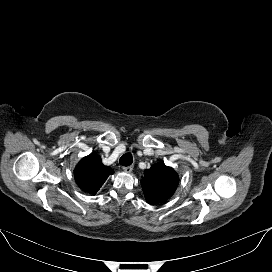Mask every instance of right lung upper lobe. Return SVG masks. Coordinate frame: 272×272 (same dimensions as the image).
Listing matches in <instances>:
<instances>
[{
    "label": "right lung upper lobe",
    "mask_w": 272,
    "mask_h": 272,
    "mask_svg": "<svg viewBox=\"0 0 272 272\" xmlns=\"http://www.w3.org/2000/svg\"><path fill=\"white\" fill-rule=\"evenodd\" d=\"M110 174H113L111 168L103 165L94 153L84 157L74 171L77 185L90 194H95Z\"/></svg>",
    "instance_id": "obj_1"
}]
</instances>
